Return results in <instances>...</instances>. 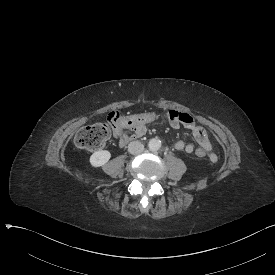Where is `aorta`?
<instances>
[{
    "label": "aorta",
    "mask_w": 275,
    "mask_h": 275,
    "mask_svg": "<svg viewBox=\"0 0 275 275\" xmlns=\"http://www.w3.org/2000/svg\"><path fill=\"white\" fill-rule=\"evenodd\" d=\"M148 147L151 151H157L161 148V141L159 139L152 138L148 143Z\"/></svg>",
    "instance_id": "obj_1"
}]
</instances>
